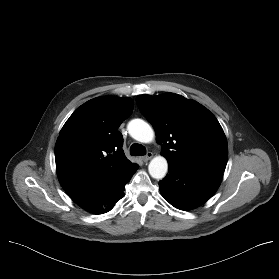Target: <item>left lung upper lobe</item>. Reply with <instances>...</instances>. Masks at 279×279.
<instances>
[{"instance_id": "5c2ea615", "label": "left lung upper lobe", "mask_w": 279, "mask_h": 279, "mask_svg": "<svg viewBox=\"0 0 279 279\" xmlns=\"http://www.w3.org/2000/svg\"><path fill=\"white\" fill-rule=\"evenodd\" d=\"M137 105L156 132L162 155L183 167L223 173L228 159L227 140L215 116L185 97L166 93L140 95Z\"/></svg>"}]
</instances>
